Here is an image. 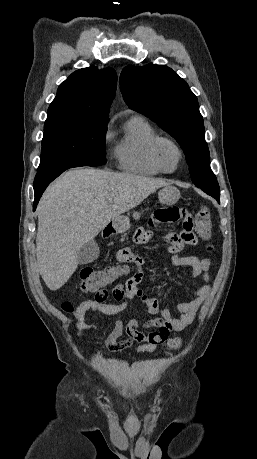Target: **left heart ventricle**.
Returning a JSON list of instances; mask_svg holds the SVG:
<instances>
[{
  "mask_svg": "<svg viewBox=\"0 0 257 459\" xmlns=\"http://www.w3.org/2000/svg\"><path fill=\"white\" fill-rule=\"evenodd\" d=\"M159 157L167 169H173L178 161V152L173 145L163 142L159 146Z\"/></svg>",
  "mask_w": 257,
  "mask_h": 459,
  "instance_id": "left-heart-ventricle-1",
  "label": "left heart ventricle"
}]
</instances>
